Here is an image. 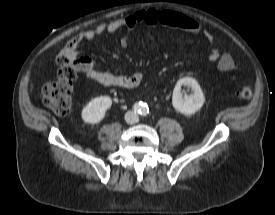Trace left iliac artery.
Masks as SVG:
<instances>
[{
  "instance_id": "obj_1",
  "label": "left iliac artery",
  "mask_w": 275,
  "mask_h": 215,
  "mask_svg": "<svg viewBox=\"0 0 275 215\" xmlns=\"http://www.w3.org/2000/svg\"><path fill=\"white\" fill-rule=\"evenodd\" d=\"M148 113H149L148 106L145 105V106L143 107L142 111H141V115H142V116H147Z\"/></svg>"
}]
</instances>
